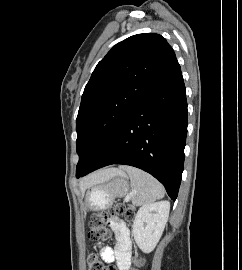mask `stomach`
Returning <instances> with one entry per match:
<instances>
[{
    "label": "stomach",
    "instance_id": "1",
    "mask_svg": "<svg viewBox=\"0 0 242 270\" xmlns=\"http://www.w3.org/2000/svg\"><path fill=\"white\" fill-rule=\"evenodd\" d=\"M128 192L127 176L118 171L108 180L90 187L86 194L85 210L97 211L110 207L114 199L122 197Z\"/></svg>",
    "mask_w": 242,
    "mask_h": 270
}]
</instances>
